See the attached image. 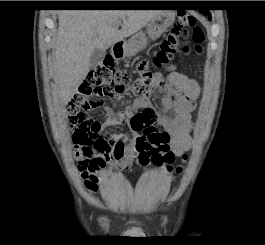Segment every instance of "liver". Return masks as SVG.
<instances>
[{
	"label": "liver",
	"mask_w": 265,
	"mask_h": 245,
	"mask_svg": "<svg viewBox=\"0 0 265 245\" xmlns=\"http://www.w3.org/2000/svg\"><path fill=\"white\" fill-rule=\"evenodd\" d=\"M160 10H65L59 13L54 52L58 97L66 105L89 71L94 49L106 50L143 27ZM122 21L119 30L117 22Z\"/></svg>",
	"instance_id": "liver-1"
}]
</instances>
